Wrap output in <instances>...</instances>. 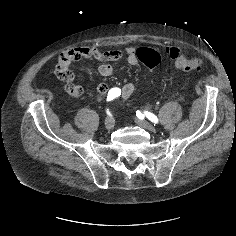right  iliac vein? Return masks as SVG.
<instances>
[{
  "mask_svg": "<svg viewBox=\"0 0 236 236\" xmlns=\"http://www.w3.org/2000/svg\"><path fill=\"white\" fill-rule=\"evenodd\" d=\"M113 127H114V119L111 116H108L105 119V128L107 130H111V129H113Z\"/></svg>",
  "mask_w": 236,
  "mask_h": 236,
  "instance_id": "1",
  "label": "right iliac vein"
}]
</instances>
